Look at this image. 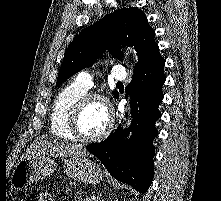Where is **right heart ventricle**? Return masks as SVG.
Segmentation results:
<instances>
[{"label": "right heart ventricle", "mask_w": 221, "mask_h": 201, "mask_svg": "<svg viewBox=\"0 0 221 201\" xmlns=\"http://www.w3.org/2000/svg\"><path fill=\"white\" fill-rule=\"evenodd\" d=\"M87 92L77 83H71L63 88L54 100L50 116L52 133L62 140H74L69 130V119L75 103Z\"/></svg>", "instance_id": "1"}]
</instances>
